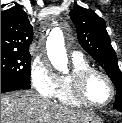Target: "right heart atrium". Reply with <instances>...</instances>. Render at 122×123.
Wrapping results in <instances>:
<instances>
[{"label":"right heart atrium","mask_w":122,"mask_h":123,"mask_svg":"<svg viewBox=\"0 0 122 123\" xmlns=\"http://www.w3.org/2000/svg\"><path fill=\"white\" fill-rule=\"evenodd\" d=\"M33 88L43 97L52 98L57 90L58 76L45 58L35 57L30 65Z\"/></svg>","instance_id":"right-heart-atrium-1"}]
</instances>
